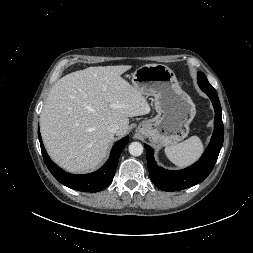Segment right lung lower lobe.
<instances>
[{"instance_id": "1", "label": "right lung lower lobe", "mask_w": 253, "mask_h": 253, "mask_svg": "<svg viewBox=\"0 0 253 253\" xmlns=\"http://www.w3.org/2000/svg\"><path fill=\"white\" fill-rule=\"evenodd\" d=\"M38 136L44 162L52 175L63 185L82 192H98L106 188L112 182L120 153L129 141V136L119 140L113 146L108 161L96 172L85 175H74L63 171L51 161L47 152L45 151L39 131Z\"/></svg>"}]
</instances>
